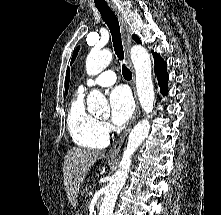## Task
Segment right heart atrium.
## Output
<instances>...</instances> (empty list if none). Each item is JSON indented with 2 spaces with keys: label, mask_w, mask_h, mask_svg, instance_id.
I'll list each match as a JSON object with an SVG mask.
<instances>
[{
  "label": "right heart atrium",
  "mask_w": 221,
  "mask_h": 215,
  "mask_svg": "<svg viewBox=\"0 0 221 215\" xmlns=\"http://www.w3.org/2000/svg\"><path fill=\"white\" fill-rule=\"evenodd\" d=\"M100 128H101V132L105 135V136H108L109 133L111 132L112 128L110 126L109 123L105 122V121H102L100 123Z\"/></svg>",
  "instance_id": "1"
}]
</instances>
